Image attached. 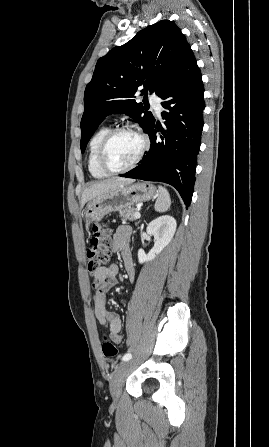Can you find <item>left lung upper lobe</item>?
Listing matches in <instances>:
<instances>
[{"label":"left lung upper lobe","mask_w":269,"mask_h":447,"mask_svg":"<svg viewBox=\"0 0 269 447\" xmlns=\"http://www.w3.org/2000/svg\"><path fill=\"white\" fill-rule=\"evenodd\" d=\"M188 48L190 45L175 23L162 20L101 57L85 89L81 152L104 117L112 113L129 115L146 132L154 119L146 111L147 92L162 95ZM138 89L145 92V106L134 99Z\"/></svg>","instance_id":"5c2ea615"}]
</instances>
